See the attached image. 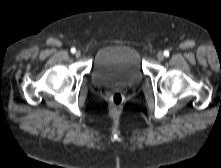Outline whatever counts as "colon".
Masks as SVG:
<instances>
[{"label":"colon","instance_id":"5ec220e1","mask_svg":"<svg viewBox=\"0 0 221 168\" xmlns=\"http://www.w3.org/2000/svg\"><path fill=\"white\" fill-rule=\"evenodd\" d=\"M109 101L111 108L113 110H118L124 101V96L119 92H115L110 96Z\"/></svg>","mask_w":221,"mask_h":168}]
</instances>
